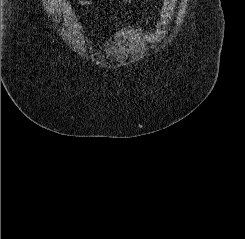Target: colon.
Segmentation results:
<instances>
[{
    "label": "colon",
    "mask_w": 245,
    "mask_h": 239,
    "mask_svg": "<svg viewBox=\"0 0 245 239\" xmlns=\"http://www.w3.org/2000/svg\"><path fill=\"white\" fill-rule=\"evenodd\" d=\"M123 1H125V2H131V1H133V0H123Z\"/></svg>",
    "instance_id": "obj_1"
}]
</instances>
